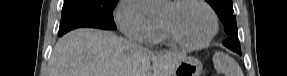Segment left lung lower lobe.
Masks as SVG:
<instances>
[{
	"label": "left lung lower lobe",
	"mask_w": 287,
	"mask_h": 76,
	"mask_svg": "<svg viewBox=\"0 0 287 76\" xmlns=\"http://www.w3.org/2000/svg\"><path fill=\"white\" fill-rule=\"evenodd\" d=\"M235 52H237L238 54H240V55H241V50H240V51H235Z\"/></svg>",
	"instance_id": "left-lung-lower-lobe-1"
}]
</instances>
